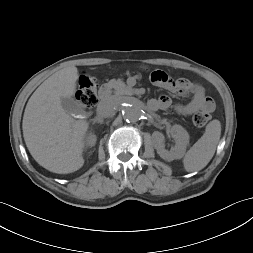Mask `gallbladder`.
Here are the masks:
<instances>
[{"label":"gallbladder","mask_w":253,"mask_h":253,"mask_svg":"<svg viewBox=\"0 0 253 253\" xmlns=\"http://www.w3.org/2000/svg\"><path fill=\"white\" fill-rule=\"evenodd\" d=\"M61 105L64 111L71 115H77L80 113L78 103L71 97H62Z\"/></svg>","instance_id":"gallbladder-1"}]
</instances>
